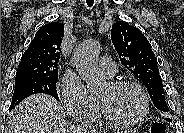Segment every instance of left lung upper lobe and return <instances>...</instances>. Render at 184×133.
<instances>
[{
  "instance_id": "left-lung-upper-lobe-1",
  "label": "left lung upper lobe",
  "mask_w": 184,
  "mask_h": 133,
  "mask_svg": "<svg viewBox=\"0 0 184 133\" xmlns=\"http://www.w3.org/2000/svg\"><path fill=\"white\" fill-rule=\"evenodd\" d=\"M111 40L121 63L143 82L155 107L163 112L169 111L158 62L147 38L138 28L118 21L112 25Z\"/></svg>"
}]
</instances>
